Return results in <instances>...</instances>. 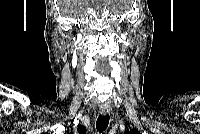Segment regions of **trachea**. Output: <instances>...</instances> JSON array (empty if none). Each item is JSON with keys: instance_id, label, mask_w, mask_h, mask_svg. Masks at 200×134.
Here are the masks:
<instances>
[{"instance_id": "obj_1", "label": "trachea", "mask_w": 200, "mask_h": 134, "mask_svg": "<svg viewBox=\"0 0 200 134\" xmlns=\"http://www.w3.org/2000/svg\"><path fill=\"white\" fill-rule=\"evenodd\" d=\"M109 124V116H102L100 115L96 121V128L98 132L102 133L103 131L106 130Z\"/></svg>"}]
</instances>
